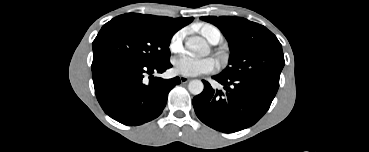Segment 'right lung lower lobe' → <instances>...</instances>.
Wrapping results in <instances>:
<instances>
[{"label": "right lung lower lobe", "mask_w": 369, "mask_h": 152, "mask_svg": "<svg viewBox=\"0 0 369 152\" xmlns=\"http://www.w3.org/2000/svg\"><path fill=\"white\" fill-rule=\"evenodd\" d=\"M170 67L169 60L153 65L112 62L92 70L95 94L102 109L114 120L130 126L157 118L180 78L165 80L152 74L163 73ZM147 74L148 83L144 79Z\"/></svg>", "instance_id": "right-lung-lower-lobe-1"}]
</instances>
